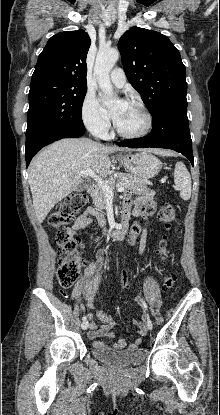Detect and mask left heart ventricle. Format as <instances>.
<instances>
[{
	"mask_svg": "<svg viewBox=\"0 0 220 415\" xmlns=\"http://www.w3.org/2000/svg\"><path fill=\"white\" fill-rule=\"evenodd\" d=\"M121 103L115 106H120ZM116 125L124 132L136 133L144 129L146 125V118L144 113L138 107L125 103L123 113Z\"/></svg>",
	"mask_w": 220,
	"mask_h": 415,
	"instance_id": "left-heart-ventricle-1",
	"label": "left heart ventricle"
}]
</instances>
